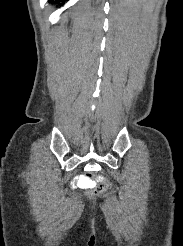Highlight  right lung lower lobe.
I'll list each match as a JSON object with an SVG mask.
<instances>
[{"label":"right lung lower lobe","mask_w":183,"mask_h":246,"mask_svg":"<svg viewBox=\"0 0 183 246\" xmlns=\"http://www.w3.org/2000/svg\"><path fill=\"white\" fill-rule=\"evenodd\" d=\"M65 0H49V2L51 4H59L60 6H62L65 2Z\"/></svg>","instance_id":"obj_1"}]
</instances>
